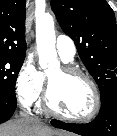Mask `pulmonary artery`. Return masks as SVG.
Segmentation results:
<instances>
[{
    "label": "pulmonary artery",
    "instance_id": "obj_1",
    "mask_svg": "<svg viewBox=\"0 0 117 136\" xmlns=\"http://www.w3.org/2000/svg\"><path fill=\"white\" fill-rule=\"evenodd\" d=\"M56 50L64 62H71L76 54L74 41L66 35H60L56 39Z\"/></svg>",
    "mask_w": 117,
    "mask_h": 136
}]
</instances>
